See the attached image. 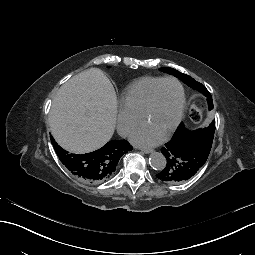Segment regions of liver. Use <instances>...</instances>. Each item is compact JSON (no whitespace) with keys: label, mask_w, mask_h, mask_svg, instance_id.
<instances>
[{"label":"liver","mask_w":255,"mask_h":255,"mask_svg":"<svg viewBox=\"0 0 255 255\" xmlns=\"http://www.w3.org/2000/svg\"><path fill=\"white\" fill-rule=\"evenodd\" d=\"M117 96L102 70L91 68L68 80L53 98L49 124L57 143L72 153L91 152L112 137Z\"/></svg>","instance_id":"liver-1"}]
</instances>
